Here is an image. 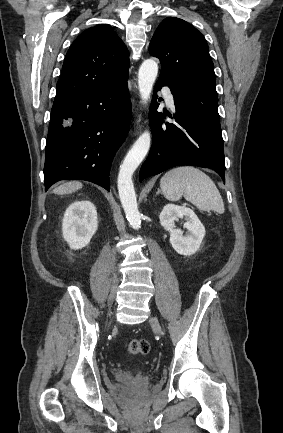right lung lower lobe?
Wrapping results in <instances>:
<instances>
[{
	"mask_svg": "<svg viewBox=\"0 0 283 433\" xmlns=\"http://www.w3.org/2000/svg\"><path fill=\"white\" fill-rule=\"evenodd\" d=\"M127 79L113 87L54 100L46 142V191L66 179L87 180L110 190L111 163L131 120Z\"/></svg>",
	"mask_w": 283,
	"mask_h": 433,
	"instance_id": "1",
	"label": "right lung lower lobe"
}]
</instances>
